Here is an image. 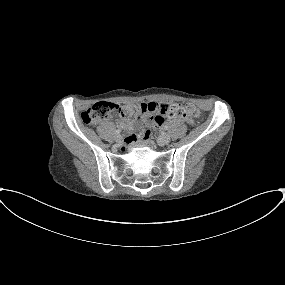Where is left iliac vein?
<instances>
[{
  "label": "left iliac vein",
  "mask_w": 285,
  "mask_h": 285,
  "mask_svg": "<svg viewBox=\"0 0 285 285\" xmlns=\"http://www.w3.org/2000/svg\"><path fill=\"white\" fill-rule=\"evenodd\" d=\"M170 141V136L168 134H163L158 138V142L161 145H166Z\"/></svg>",
  "instance_id": "1"
}]
</instances>
